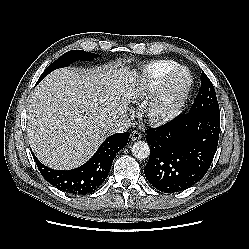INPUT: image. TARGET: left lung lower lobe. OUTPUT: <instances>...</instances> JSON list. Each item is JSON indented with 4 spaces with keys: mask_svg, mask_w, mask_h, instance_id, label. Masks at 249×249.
<instances>
[{
    "mask_svg": "<svg viewBox=\"0 0 249 249\" xmlns=\"http://www.w3.org/2000/svg\"><path fill=\"white\" fill-rule=\"evenodd\" d=\"M220 114H180L147 131L149 160L144 173L156 189L173 193L191 187L208 171L217 150Z\"/></svg>",
    "mask_w": 249,
    "mask_h": 249,
    "instance_id": "left-lung-lower-lobe-1",
    "label": "left lung lower lobe"
}]
</instances>
